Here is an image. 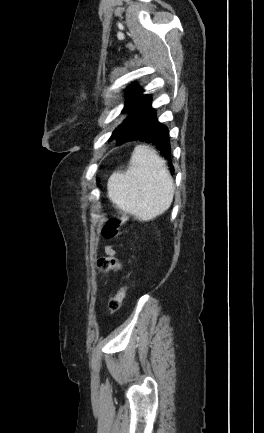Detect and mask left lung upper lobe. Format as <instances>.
<instances>
[{"mask_svg":"<svg viewBox=\"0 0 264 433\" xmlns=\"http://www.w3.org/2000/svg\"><path fill=\"white\" fill-rule=\"evenodd\" d=\"M126 104L124 109L122 110V113L128 112L129 109L135 104V102L142 96L143 89L136 86L135 84L130 85L126 89ZM128 130L122 125V123L114 130L111 140L117 138L118 141H124L128 137Z\"/></svg>","mask_w":264,"mask_h":433,"instance_id":"5c2ea615","label":"left lung upper lobe"}]
</instances>
